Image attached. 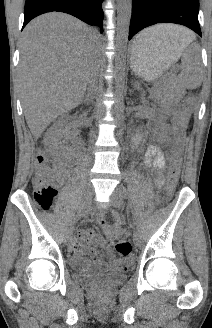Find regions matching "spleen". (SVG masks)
I'll return each mask as SVG.
<instances>
[{"mask_svg": "<svg viewBox=\"0 0 212 328\" xmlns=\"http://www.w3.org/2000/svg\"><path fill=\"white\" fill-rule=\"evenodd\" d=\"M148 40L145 37V31L140 33L135 39V48H145L148 44ZM186 46V45H185ZM192 48L196 49L195 56H191L190 49L183 55V72L180 74L179 79L182 86L188 89H195L202 83L203 75L199 61V45L194 44Z\"/></svg>", "mask_w": 212, "mask_h": 328, "instance_id": "obj_1", "label": "spleen"}]
</instances>
